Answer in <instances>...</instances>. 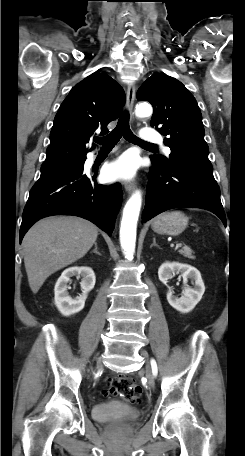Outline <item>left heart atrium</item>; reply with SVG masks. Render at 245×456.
<instances>
[{"mask_svg":"<svg viewBox=\"0 0 245 456\" xmlns=\"http://www.w3.org/2000/svg\"><path fill=\"white\" fill-rule=\"evenodd\" d=\"M138 160L133 154H124L108 165L105 176L109 180H128L136 175Z\"/></svg>","mask_w":245,"mask_h":456,"instance_id":"39dd6f15","label":"left heart atrium"}]
</instances>
